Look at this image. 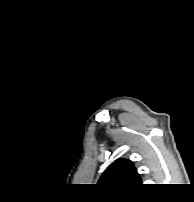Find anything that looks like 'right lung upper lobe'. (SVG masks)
Segmentation results:
<instances>
[{
	"label": "right lung upper lobe",
	"instance_id": "obj_1",
	"mask_svg": "<svg viewBox=\"0 0 194 202\" xmlns=\"http://www.w3.org/2000/svg\"><path fill=\"white\" fill-rule=\"evenodd\" d=\"M98 184L124 189L141 185V179L130 160L118 159L102 174Z\"/></svg>",
	"mask_w": 194,
	"mask_h": 202
}]
</instances>
